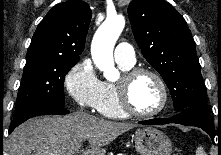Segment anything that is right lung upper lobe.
Returning a JSON list of instances; mask_svg holds the SVG:
<instances>
[{"mask_svg": "<svg viewBox=\"0 0 221 155\" xmlns=\"http://www.w3.org/2000/svg\"><path fill=\"white\" fill-rule=\"evenodd\" d=\"M92 11L82 0L54 6L39 23L26 59L48 58L78 62L85 46Z\"/></svg>", "mask_w": 221, "mask_h": 155, "instance_id": "obj_1", "label": "right lung upper lobe"}]
</instances>
